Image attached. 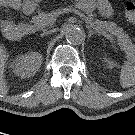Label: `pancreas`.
<instances>
[{"mask_svg":"<svg viewBox=\"0 0 135 135\" xmlns=\"http://www.w3.org/2000/svg\"><path fill=\"white\" fill-rule=\"evenodd\" d=\"M78 7L80 9H84L82 6ZM88 16L86 17L88 22L97 30V31H107L111 33L114 36H117L119 44L122 46L123 49H125L129 54H132L135 52V45L132 44L131 40L129 39L128 35H126L122 28L117 27V25L113 22L107 23L102 22L100 20H93V16L90 13L89 9H85ZM54 13H46V12H40L38 15L34 16L32 18V23L34 24V27L36 29H45L47 26H49L51 23L49 21L50 17L54 15Z\"/></svg>","mask_w":135,"mask_h":135,"instance_id":"cf45deb5","label":"pancreas"}]
</instances>
